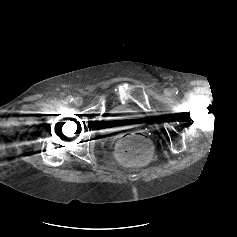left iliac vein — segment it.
<instances>
[{
    "mask_svg": "<svg viewBox=\"0 0 237 237\" xmlns=\"http://www.w3.org/2000/svg\"><path fill=\"white\" fill-rule=\"evenodd\" d=\"M164 93H165V95L168 96V97L171 96V94H172V92H171L170 89L165 90Z\"/></svg>",
    "mask_w": 237,
    "mask_h": 237,
    "instance_id": "4c4485c4",
    "label": "left iliac vein"
}]
</instances>
